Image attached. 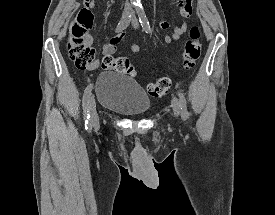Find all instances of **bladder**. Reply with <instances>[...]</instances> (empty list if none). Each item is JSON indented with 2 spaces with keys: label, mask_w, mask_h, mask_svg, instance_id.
Returning a JSON list of instances; mask_svg holds the SVG:
<instances>
[{
  "label": "bladder",
  "mask_w": 275,
  "mask_h": 215,
  "mask_svg": "<svg viewBox=\"0 0 275 215\" xmlns=\"http://www.w3.org/2000/svg\"><path fill=\"white\" fill-rule=\"evenodd\" d=\"M99 104L128 116H141L150 108V100L137 82L118 72H101L95 83Z\"/></svg>",
  "instance_id": "bladder-1"
}]
</instances>
